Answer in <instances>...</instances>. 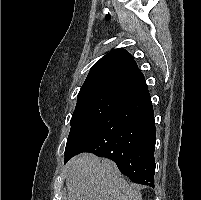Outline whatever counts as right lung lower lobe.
Segmentation results:
<instances>
[{
  "mask_svg": "<svg viewBox=\"0 0 201 200\" xmlns=\"http://www.w3.org/2000/svg\"><path fill=\"white\" fill-rule=\"evenodd\" d=\"M156 128L149 92L86 127L66 147L65 163L81 152L113 160L131 181L154 187Z\"/></svg>",
  "mask_w": 201,
  "mask_h": 200,
  "instance_id": "98d812e1",
  "label": "right lung lower lobe"
}]
</instances>
